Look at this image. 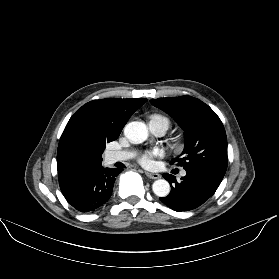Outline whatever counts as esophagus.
<instances>
[{
    "label": "esophagus",
    "instance_id": "esophagus-1",
    "mask_svg": "<svg viewBox=\"0 0 279 279\" xmlns=\"http://www.w3.org/2000/svg\"><path fill=\"white\" fill-rule=\"evenodd\" d=\"M146 176L151 179H159L161 178V175L158 173H151V172H145Z\"/></svg>",
    "mask_w": 279,
    "mask_h": 279
}]
</instances>
